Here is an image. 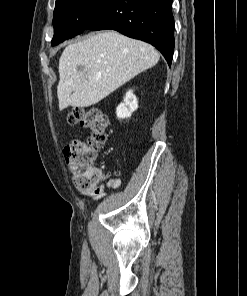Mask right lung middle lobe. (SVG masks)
<instances>
[{
  "label": "right lung middle lobe",
  "mask_w": 247,
  "mask_h": 296,
  "mask_svg": "<svg viewBox=\"0 0 247 296\" xmlns=\"http://www.w3.org/2000/svg\"><path fill=\"white\" fill-rule=\"evenodd\" d=\"M106 0H56L51 45L72 38L85 31L96 7Z\"/></svg>",
  "instance_id": "dd1d6c3e"
}]
</instances>
